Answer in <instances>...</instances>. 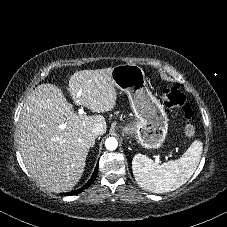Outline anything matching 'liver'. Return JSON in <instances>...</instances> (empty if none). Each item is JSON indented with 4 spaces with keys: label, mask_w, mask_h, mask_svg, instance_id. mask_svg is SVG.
I'll return each mask as SVG.
<instances>
[{
    "label": "liver",
    "mask_w": 227,
    "mask_h": 227,
    "mask_svg": "<svg viewBox=\"0 0 227 227\" xmlns=\"http://www.w3.org/2000/svg\"><path fill=\"white\" fill-rule=\"evenodd\" d=\"M113 68L81 70L69 78L76 105L95 113L111 111L117 100ZM102 115L77 114L54 84L37 86L25 101L19 118V145L26 168L36 182L51 192H67L81 179L96 136L92 127ZM64 125V128H60Z\"/></svg>",
    "instance_id": "1"
}]
</instances>
